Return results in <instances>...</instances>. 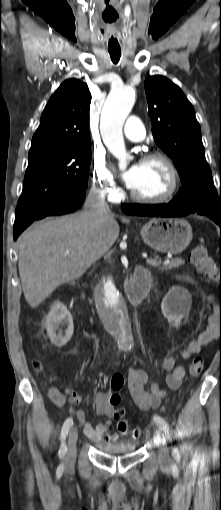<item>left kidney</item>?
Wrapping results in <instances>:
<instances>
[{"mask_svg": "<svg viewBox=\"0 0 221 510\" xmlns=\"http://www.w3.org/2000/svg\"><path fill=\"white\" fill-rule=\"evenodd\" d=\"M192 304L190 293L182 287H172L161 303V311L170 326L179 328L182 318L189 313Z\"/></svg>", "mask_w": 221, "mask_h": 510, "instance_id": "5707ae66", "label": "left kidney"}]
</instances>
